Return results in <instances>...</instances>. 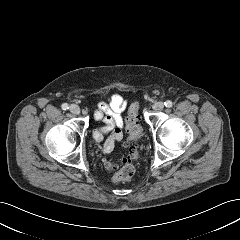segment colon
Instances as JSON below:
<instances>
[{
	"mask_svg": "<svg viewBox=\"0 0 240 240\" xmlns=\"http://www.w3.org/2000/svg\"><path fill=\"white\" fill-rule=\"evenodd\" d=\"M138 102L131 104L128 110V116L126 118V130L129 135V146L126 156L122 159V167L116 171L113 175L112 181L114 184H119L130 180L135 174V168L133 166V161L138 156V150L135 146V141L141 135V127L138 123ZM105 167L110 170H115L116 165L106 161L104 163Z\"/></svg>",
	"mask_w": 240,
	"mask_h": 240,
	"instance_id": "1",
	"label": "colon"
}]
</instances>
